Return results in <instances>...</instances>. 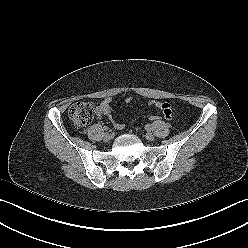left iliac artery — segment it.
Returning <instances> with one entry per match:
<instances>
[{
    "label": "left iliac artery",
    "mask_w": 248,
    "mask_h": 248,
    "mask_svg": "<svg viewBox=\"0 0 248 248\" xmlns=\"http://www.w3.org/2000/svg\"><path fill=\"white\" fill-rule=\"evenodd\" d=\"M151 128H152V127H151L150 124L146 125V129H147V130H151Z\"/></svg>",
    "instance_id": "left-iliac-artery-1"
}]
</instances>
